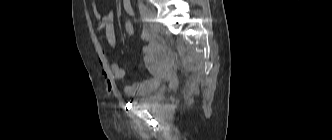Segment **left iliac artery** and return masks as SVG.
<instances>
[{
	"label": "left iliac artery",
	"instance_id": "1",
	"mask_svg": "<svg viewBox=\"0 0 332 140\" xmlns=\"http://www.w3.org/2000/svg\"><path fill=\"white\" fill-rule=\"evenodd\" d=\"M138 7H139V11L140 14L142 16V18L144 20H146V11H147V7L145 6V4L142 2V0H138Z\"/></svg>",
	"mask_w": 332,
	"mask_h": 140
}]
</instances>
